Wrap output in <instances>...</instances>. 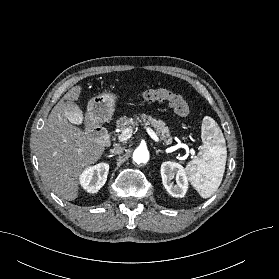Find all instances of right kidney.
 Returning a JSON list of instances; mask_svg holds the SVG:
<instances>
[{"label": "right kidney", "mask_w": 279, "mask_h": 279, "mask_svg": "<svg viewBox=\"0 0 279 279\" xmlns=\"http://www.w3.org/2000/svg\"><path fill=\"white\" fill-rule=\"evenodd\" d=\"M109 171V164L99 163L86 168L80 175L79 181L84 190L96 193L105 184Z\"/></svg>", "instance_id": "ca27d5eb"}]
</instances>
